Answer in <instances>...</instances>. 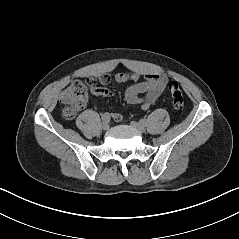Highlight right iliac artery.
Masks as SVG:
<instances>
[{"mask_svg":"<svg viewBox=\"0 0 239 239\" xmlns=\"http://www.w3.org/2000/svg\"><path fill=\"white\" fill-rule=\"evenodd\" d=\"M110 120V114L108 112L104 113L102 115V121H109Z\"/></svg>","mask_w":239,"mask_h":239,"instance_id":"obj_1","label":"right iliac artery"}]
</instances>
